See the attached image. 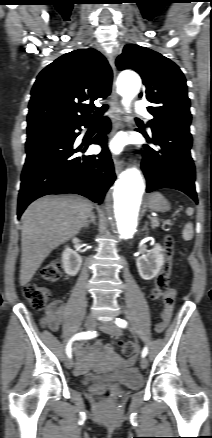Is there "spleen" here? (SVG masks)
Returning a JSON list of instances; mask_svg holds the SVG:
<instances>
[{
	"mask_svg": "<svg viewBox=\"0 0 212 438\" xmlns=\"http://www.w3.org/2000/svg\"><path fill=\"white\" fill-rule=\"evenodd\" d=\"M194 235L193 225L191 222H188L183 229L182 237L185 241L192 240Z\"/></svg>",
	"mask_w": 212,
	"mask_h": 438,
	"instance_id": "obj_1",
	"label": "spleen"
}]
</instances>
